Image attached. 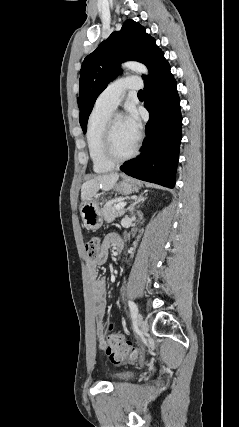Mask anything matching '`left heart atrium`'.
I'll return each instance as SVG.
<instances>
[{"instance_id": "left-heart-atrium-1", "label": "left heart atrium", "mask_w": 239, "mask_h": 427, "mask_svg": "<svg viewBox=\"0 0 239 427\" xmlns=\"http://www.w3.org/2000/svg\"><path fill=\"white\" fill-rule=\"evenodd\" d=\"M123 121L128 132L137 140L140 132V121L136 111L128 109Z\"/></svg>"}]
</instances>
